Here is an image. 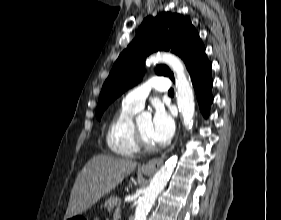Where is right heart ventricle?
Listing matches in <instances>:
<instances>
[{
    "label": "right heart ventricle",
    "instance_id": "obj_1",
    "mask_svg": "<svg viewBox=\"0 0 281 220\" xmlns=\"http://www.w3.org/2000/svg\"><path fill=\"white\" fill-rule=\"evenodd\" d=\"M137 112V109L122 102L109 124L107 146L119 156L133 157L140 152L133 137V117Z\"/></svg>",
    "mask_w": 281,
    "mask_h": 220
}]
</instances>
